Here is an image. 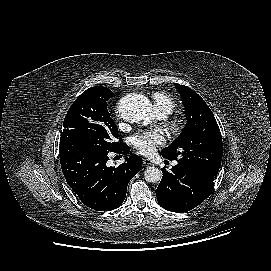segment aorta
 <instances>
[{"label": "aorta", "instance_id": "aorta-1", "mask_svg": "<svg viewBox=\"0 0 271 271\" xmlns=\"http://www.w3.org/2000/svg\"><path fill=\"white\" fill-rule=\"evenodd\" d=\"M122 116L129 122H143L148 124L151 119V104L142 94H131L123 100ZM162 173L156 167H149L144 172V178L149 183L161 180Z\"/></svg>", "mask_w": 271, "mask_h": 271}]
</instances>
